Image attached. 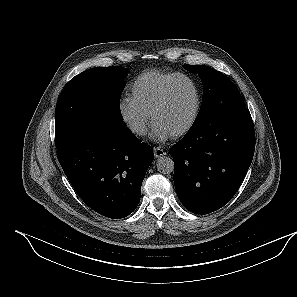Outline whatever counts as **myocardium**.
<instances>
[{"label": "myocardium", "instance_id": "obj_1", "mask_svg": "<svg viewBox=\"0 0 297 297\" xmlns=\"http://www.w3.org/2000/svg\"><path fill=\"white\" fill-rule=\"evenodd\" d=\"M180 80L188 81L191 84V86L193 87L194 92H195V106H194L192 116H191L190 120L187 122V124L184 127H182L180 130H178L177 132H175L174 134L171 135V137L174 139H177V138H180V137L186 135L194 127V125L196 124V122L198 120L200 110H201V105H202V97H201L200 89H199L197 83L195 82V80L186 74H177L176 76H174L164 86L159 97L154 102V104L152 105V107L149 111V119H150L151 124L153 125V118H154L155 114L166 103L169 93H170V90L173 87V85L177 81H180Z\"/></svg>", "mask_w": 297, "mask_h": 297}]
</instances>
